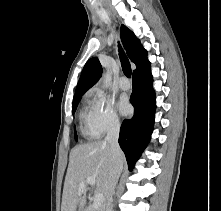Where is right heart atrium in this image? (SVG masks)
Here are the masks:
<instances>
[{"label": "right heart atrium", "instance_id": "1", "mask_svg": "<svg viewBox=\"0 0 221 211\" xmlns=\"http://www.w3.org/2000/svg\"><path fill=\"white\" fill-rule=\"evenodd\" d=\"M90 124L98 136L117 130L120 120L112 101L100 90L90 92Z\"/></svg>", "mask_w": 221, "mask_h": 211}]
</instances>
